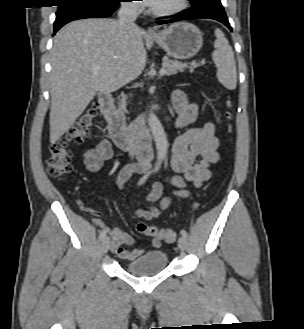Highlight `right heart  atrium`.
<instances>
[{"label":"right heart atrium","instance_id":"d8ad5b80","mask_svg":"<svg viewBox=\"0 0 304 329\" xmlns=\"http://www.w3.org/2000/svg\"><path fill=\"white\" fill-rule=\"evenodd\" d=\"M128 2H130V4H128L127 5V9L129 10V11H132V12H138V11H140L141 10V4H138L137 2H139V1H137V0H135V1H133V0H127Z\"/></svg>","mask_w":304,"mask_h":329}]
</instances>
